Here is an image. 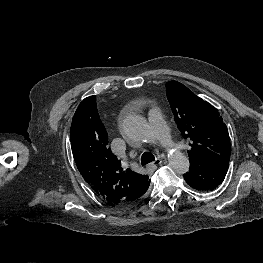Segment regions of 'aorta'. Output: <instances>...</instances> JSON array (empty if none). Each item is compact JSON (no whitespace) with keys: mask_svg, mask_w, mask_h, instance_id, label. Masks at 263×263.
<instances>
[{"mask_svg":"<svg viewBox=\"0 0 263 263\" xmlns=\"http://www.w3.org/2000/svg\"><path fill=\"white\" fill-rule=\"evenodd\" d=\"M124 135L134 141H148L151 137L146 120L138 114L126 116L122 124ZM169 165L178 174H184L189 170V159L181 152L169 155Z\"/></svg>","mask_w":263,"mask_h":263,"instance_id":"aorta-1","label":"aorta"}]
</instances>
